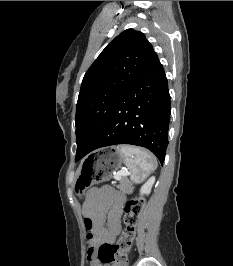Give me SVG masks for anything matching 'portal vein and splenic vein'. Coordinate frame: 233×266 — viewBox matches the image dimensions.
I'll use <instances>...</instances> for the list:
<instances>
[{
  "label": "portal vein and splenic vein",
  "mask_w": 233,
  "mask_h": 266,
  "mask_svg": "<svg viewBox=\"0 0 233 266\" xmlns=\"http://www.w3.org/2000/svg\"><path fill=\"white\" fill-rule=\"evenodd\" d=\"M123 175H127V170H123V171L118 172V173L115 175V179H116V180H121V178H122Z\"/></svg>",
  "instance_id": "18ae733b"
}]
</instances>
